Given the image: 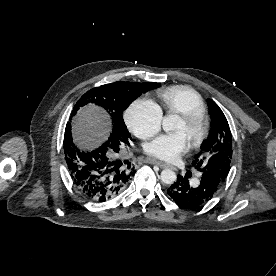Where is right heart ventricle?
I'll return each mask as SVG.
<instances>
[{
	"mask_svg": "<svg viewBox=\"0 0 276 276\" xmlns=\"http://www.w3.org/2000/svg\"><path fill=\"white\" fill-rule=\"evenodd\" d=\"M162 106L168 114H183L193 110L205 111L202 97L187 86H173L158 92Z\"/></svg>",
	"mask_w": 276,
	"mask_h": 276,
	"instance_id": "obj_1",
	"label": "right heart ventricle"
}]
</instances>
